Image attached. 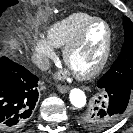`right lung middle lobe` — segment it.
<instances>
[{
	"label": "right lung middle lobe",
	"mask_w": 133,
	"mask_h": 133,
	"mask_svg": "<svg viewBox=\"0 0 133 133\" xmlns=\"http://www.w3.org/2000/svg\"><path fill=\"white\" fill-rule=\"evenodd\" d=\"M17 3L18 1L15 0H0V16L7 7L13 6Z\"/></svg>",
	"instance_id": "right-lung-middle-lobe-1"
}]
</instances>
